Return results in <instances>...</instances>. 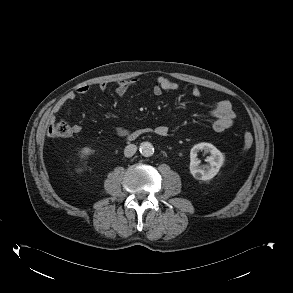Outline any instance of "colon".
I'll return each mask as SVG.
<instances>
[{
	"label": "colon",
	"instance_id": "colon-1",
	"mask_svg": "<svg viewBox=\"0 0 293 293\" xmlns=\"http://www.w3.org/2000/svg\"><path fill=\"white\" fill-rule=\"evenodd\" d=\"M71 132V127L65 120L52 121L49 126V133L52 136H68ZM253 144V136L250 132L244 133L243 136V151H248Z\"/></svg>",
	"mask_w": 293,
	"mask_h": 293
}]
</instances>
